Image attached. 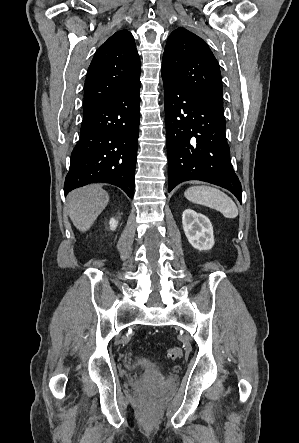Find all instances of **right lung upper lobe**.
<instances>
[{
	"mask_svg": "<svg viewBox=\"0 0 299 443\" xmlns=\"http://www.w3.org/2000/svg\"><path fill=\"white\" fill-rule=\"evenodd\" d=\"M140 59L127 30L114 33L96 51L84 86L87 113L140 82Z\"/></svg>",
	"mask_w": 299,
	"mask_h": 443,
	"instance_id": "1",
	"label": "right lung upper lobe"
}]
</instances>
